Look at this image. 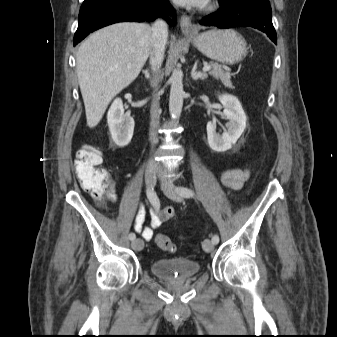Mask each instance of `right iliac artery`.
<instances>
[{
    "mask_svg": "<svg viewBox=\"0 0 337 337\" xmlns=\"http://www.w3.org/2000/svg\"><path fill=\"white\" fill-rule=\"evenodd\" d=\"M147 197H148L150 203H151L154 207H156V208H159V207H160V201H159V199H158L156 193L153 191V189L148 188V190H147ZM135 238H136L135 233H130V234H129V239H130V240L133 241Z\"/></svg>",
    "mask_w": 337,
    "mask_h": 337,
    "instance_id": "obj_1",
    "label": "right iliac artery"
}]
</instances>
